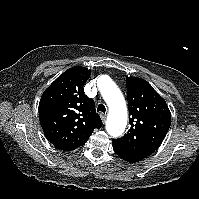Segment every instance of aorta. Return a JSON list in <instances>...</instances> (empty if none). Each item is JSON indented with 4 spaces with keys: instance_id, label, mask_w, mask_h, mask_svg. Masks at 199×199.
<instances>
[{
    "instance_id": "1",
    "label": "aorta",
    "mask_w": 199,
    "mask_h": 199,
    "mask_svg": "<svg viewBox=\"0 0 199 199\" xmlns=\"http://www.w3.org/2000/svg\"><path fill=\"white\" fill-rule=\"evenodd\" d=\"M97 85L109 107L106 130L110 136L119 137L127 124V108L124 97L108 76L99 77Z\"/></svg>"
}]
</instances>
